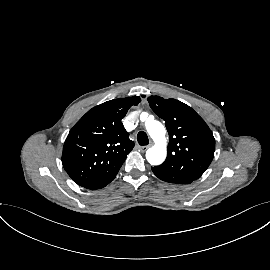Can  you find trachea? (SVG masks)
<instances>
[{
    "instance_id": "trachea-1",
    "label": "trachea",
    "mask_w": 270,
    "mask_h": 270,
    "mask_svg": "<svg viewBox=\"0 0 270 270\" xmlns=\"http://www.w3.org/2000/svg\"><path fill=\"white\" fill-rule=\"evenodd\" d=\"M137 140H138V143L142 146L144 145H148L149 143V139H148V136L147 134L144 132V131H140L137 135Z\"/></svg>"
}]
</instances>
